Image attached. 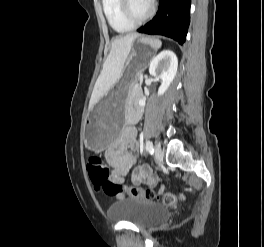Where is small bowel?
Listing matches in <instances>:
<instances>
[{
    "instance_id": "c3829d8e",
    "label": "small bowel",
    "mask_w": 264,
    "mask_h": 247,
    "mask_svg": "<svg viewBox=\"0 0 264 247\" xmlns=\"http://www.w3.org/2000/svg\"><path fill=\"white\" fill-rule=\"evenodd\" d=\"M139 118V112L133 111L130 114L127 127L123 130L120 137L106 150L105 157L112 166L111 180L113 182H122L130 170L135 165L134 156L127 150L136 151L139 148L137 141V130L135 123ZM135 183L146 184L150 187L156 186L158 179L153 175L150 167L146 165L139 166L133 175Z\"/></svg>"
}]
</instances>
